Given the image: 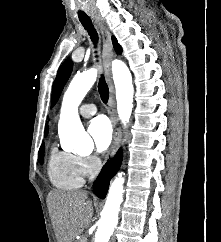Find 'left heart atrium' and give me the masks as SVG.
<instances>
[{"mask_svg":"<svg viewBox=\"0 0 221 242\" xmlns=\"http://www.w3.org/2000/svg\"><path fill=\"white\" fill-rule=\"evenodd\" d=\"M88 133L97 151L102 152L109 147L112 140V127L106 117L94 118L88 126Z\"/></svg>","mask_w":221,"mask_h":242,"instance_id":"left-heart-atrium-1","label":"left heart atrium"}]
</instances>
